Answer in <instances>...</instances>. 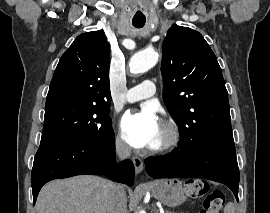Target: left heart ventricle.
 <instances>
[{
	"label": "left heart ventricle",
	"mask_w": 270,
	"mask_h": 213,
	"mask_svg": "<svg viewBox=\"0 0 270 213\" xmlns=\"http://www.w3.org/2000/svg\"><path fill=\"white\" fill-rule=\"evenodd\" d=\"M161 138H162V127H160V129H159L157 138H156V140H155L153 146L156 145V144H158V143L160 142Z\"/></svg>",
	"instance_id": "1"
}]
</instances>
